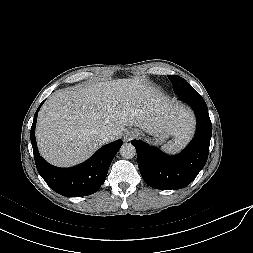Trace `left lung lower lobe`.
Returning a JSON list of instances; mask_svg holds the SVG:
<instances>
[{"label":"left lung lower lobe","mask_w":253,"mask_h":253,"mask_svg":"<svg viewBox=\"0 0 253 253\" xmlns=\"http://www.w3.org/2000/svg\"><path fill=\"white\" fill-rule=\"evenodd\" d=\"M179 99L193 108L197 118L195 136L180 154L169 156L142 141H131L137 152L142 178L155 189H181L188 186L208 158L212 124L206 103L195 89L179 95Z\"/></svg>","instance_id":"1"}]
</instances>
